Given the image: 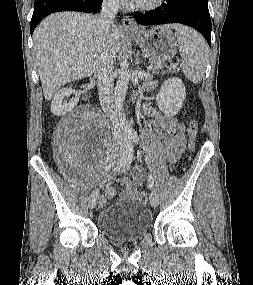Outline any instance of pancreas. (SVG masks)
<instances>
[{
    "mask_svg": "<svg viewBox=\"0 0 253 285\" xmlns=\"http://www.w3.org/2000/svg\"><path fill=\"white\" fill-rule=\"evenodd\" d=\"M152 65L156 66L157 69H155L153 71V73H158V70L159 69H162L164 66H163V63L161 62H157V61H152ZM167 72L168 73H173V72H179V67L177 65H173V66H170V67H167Z\"/></svg>",
    "mask_w": 253,
    "mask_h": 285,
    "instance_id": "pancreas-1",
    "label": "pancreas"
}]
</instances>
